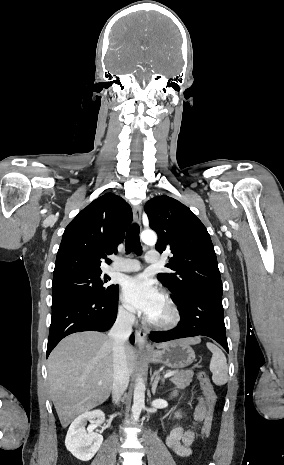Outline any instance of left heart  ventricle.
Segmentation results:
<instances>
[{
    "instance_id": "1",
    "label": "left heart ventricle",
    "mask_w": 284,
    "mask_h": 465,
    "mask_svg": "<svg viewBox=\"0 0 284 465\" xmlns=\"http://www.w3.org/2000/svg\"><path fill=\"white\" fill-rule=\"evenodd\" d=\"M149 318L157 322H164L169 319V312L163 301Z\"/></svg>"
}]
</instances>
